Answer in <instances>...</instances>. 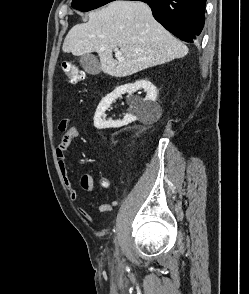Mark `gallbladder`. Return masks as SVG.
<instances>
[{
	"label": "gallbladder",
	"instance_id": "1",
	"mask_svg": "<svg viewBox=\"0 0 249 294\" xmlns=\"http://www.w3.org/2000/svg\"><path fill=\"white\" fill-rule=\"evenodd\" d=\"M81 67L91 75H97L101 72V65L93 54H84L79 57Z\"/></svg>",
	"mask_w": 249,
	"mask_h": 294
}]
</instances>
